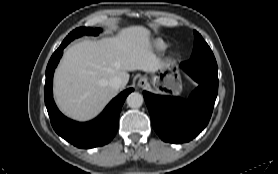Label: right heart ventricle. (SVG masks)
<instances>
[{"mask_svg": "<svg viewBox=\"0 0 278 174\" xmlns=\"http://www.w3.org/2000/svg\"><path fill=\"white\" fill-rule=\"evenodd\" d=\"M155 46L158 50H164L166 48V43L163 42L162 40H157L155 42Z\"/></svg>", "mask_w": 278, "mask_h": 174, "instance_id": "e07e8e85", "label": "right heart ventricle"}]
</instances>
